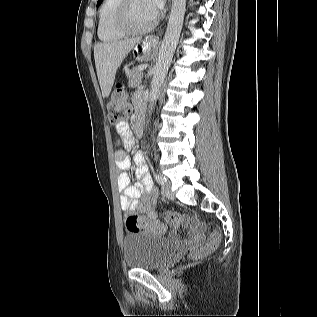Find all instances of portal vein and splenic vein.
<instances>
[{"label": "portal vein and splenic vein", "mask_w": 317, "mask_h": 317, "mask_svg": "<svg viewBox=\"0 0 317 317\" xmlns=\"http://www.w3.org/2000/svg\"><path fill=\"white\" fill-rule=\"evenodd\" d=\"M146 68H147V64H142L139 66V71H143Z\"/></svg>", "instance_id": "obj_1"}]
</instances>
